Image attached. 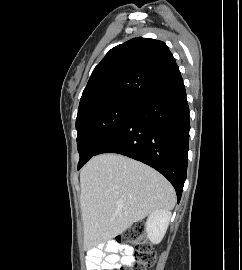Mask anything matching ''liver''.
<instances>
[{
	"mask_svg": "<svg viewBox=\"0 0 242 270\" xmlns=\"http://www.w3.org/2000/svg\"><path fill=\"white\" fill-rule=\"evenodd\" d=\"M84 245L122 234L155 210L176 203L172 185L151 167L118 154L93 157L80 173Z\"/></svg>",
	"mask_w": 242,
	"mask_h": 270,
	"instance_id": "1",
	"label": "liver"
}]
</instances>
